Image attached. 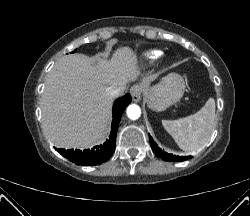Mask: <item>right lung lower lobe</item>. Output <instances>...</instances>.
Wrapping results in <instances>:
<instances>
[{
  "mask_svg": "<svg viewBox=\"0 0 250 216\" xmlns=\"http://www.w3.org/2000/svg\"><path fill=\"white\" fill-rule=\"evenodd\" d=\"M131 102V96L127 93L125 96L117 99L113 104V120L112 129L109 140H107L103 145L94 146L91 150H65L55 148L62 156L66 157L68 160L72 161L77 165H98L107 161L115 151L116 146V133L121 116Z\"/></svg>",
  "mask_w": 250,
  "mask_h": 216,
  "instance_id": "98d812e1",
  "label": "right lung lower lobe"
}]
</instances>
